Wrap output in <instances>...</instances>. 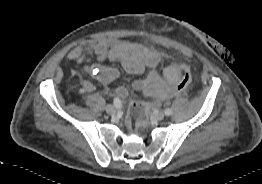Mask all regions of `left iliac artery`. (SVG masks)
Instances as JSON below:
<instances>
[{"label":"left iliac artery","instance_id":"obj_1","mask_svg":"<svg viewBox=\"0 0 262 184\" xmlns=\"http://www.w3.org/2000/svg\"><path fill=\"white\" fill-rule=\"evenodd\" d=\"M164 113L167 115V116H170L172 114V110L171 109H165L164 110Z\"/></svg>","mask_w":262,"mask_h":184}]
</instances>
